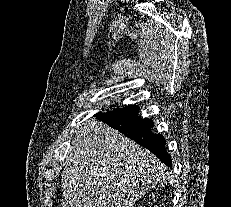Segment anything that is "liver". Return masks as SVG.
Returning <instances> with one entry per match:
<instances>
[{"label":"liver","mask_w":231,"mask_h":207,"mask_svg":"<svg viewBox=\"0 0 231 207\" xmlns=\"http://www.w3.org/2000/svg\"><path fill=\"white\" fill-rule=\"evenodd\" d=\"M65 164L60 207H132L169 177L150 151L97 120L78 128Z\"/></svg>","instance_id":"obj_1"}]
</instances>
